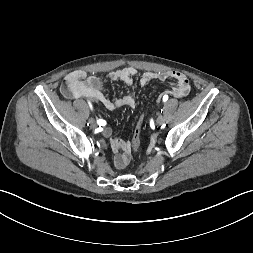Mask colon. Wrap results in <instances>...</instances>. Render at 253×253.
<instances>
[{"mask_svg":"<svg viewBox=\"0 0 253 253\" xmlns=\"http://www.w3.org/2000/svg\"><path fill=\"white\" fill-rule=\"evenodd\" d=\"M146 110H141L138 117L140 120L136 123V126L133 131L132 140H131V146L132 148L137 151L140 148L141 145V135H142V119H144L146 115Z\"/></svg>","mask_w":253,"mask_h":253,"instance_id":"obj_1","label":"colon"}]
</instances>
